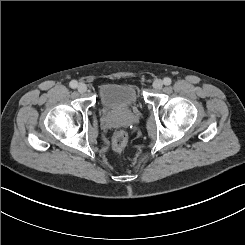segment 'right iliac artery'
I'll return each mask as SVG.
<instances>
[{"label": "right iliac artery", "mask_w": 245, "mask_h": 245, "mask_svg": "<svg viewBox=\"0 0 245 245\" xmlns=\"http://www.w3.org/2000/svg\"><path fill=\"white\" fill-rule=\"evenodd\" d=\"M69 85L71 88L75 89L77 87L78 83H77V81L72 80Z\"/></svg>", "instance_id": "82829eb1"}]
</instances>
